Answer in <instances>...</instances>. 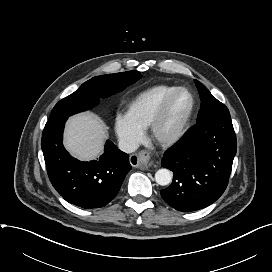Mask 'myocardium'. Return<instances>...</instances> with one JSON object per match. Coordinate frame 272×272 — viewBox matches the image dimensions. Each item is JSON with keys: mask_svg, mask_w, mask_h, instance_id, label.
I'll list each match as a JSON object with an SVG mask.
<instances>
[{"mask_svg": "<svg viewBox=\"0 0 272 272\" xmlns=\"http://www.w3.org/2000/svg\"><path fill=\"white\" fill-rule=\"evenodd\" d=\"M180 92H187L190 94L192 98V105L190 108L189 113L187 114L186 118L183 120L179 128L170 136L167 137H162L159 134V128L166 118L168 111L171 107V104L175 97L180 93ZM197 109V99L195 94L193 93L192 90H190L187 87H178L176 88L173 92H171L166 99L163 101L162 105L154 115L153 119L150 122L149 125V132L152 140L156 142L158 145L163 146V147H169L173 146L176 143H178L186 134L188 131L192 120L194 118L195 112Z\"/></svg>", "mask_w": 272, "mask_h": 272, "instance_id": "obj_1", "label": "myocardium"}]
</instances>
